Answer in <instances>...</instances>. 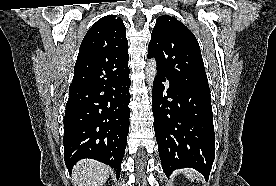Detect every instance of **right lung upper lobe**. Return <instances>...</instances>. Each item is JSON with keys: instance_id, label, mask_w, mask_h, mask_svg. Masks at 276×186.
Here are the masks:
<instances>
[{"instance_id": "cb5924a9", "label": "right lung upper lobe", "mask_w": 276, "mask_h": 186, "mask_svg": "<svg viewBox=\"0 0 276 186\" xmlns=\"http://www.w3.org/2000/svg\"><path fill=\"white\" fill-rule=\"evenodd\" d=\"M128 60L122 19L104 16L88 30L80 45L69 91L99 87L124 78L130 72Z\"/></svg>"}]
</instances>
